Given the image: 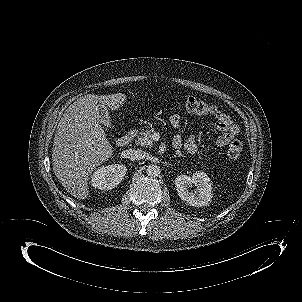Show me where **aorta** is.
I'll list each match as a JSON object with an SVG mask.
<instances>
[{
	"instance_id": "762f6f07",
	"label": "aorta",
	"mask_w": 302,
	"mask_h": 302,
	"mask_svg": "<svg viewBox=\"0 0 302 302\" xmlns=\"http://www.w3.org/2000/svg\"><path fill=\"white\" fill-rule=\"evenodd\" d=\"M148 176L156 177L160 174V167L157 165H149L147 168Z\"/></svg>"
}]
</instances>
